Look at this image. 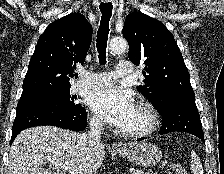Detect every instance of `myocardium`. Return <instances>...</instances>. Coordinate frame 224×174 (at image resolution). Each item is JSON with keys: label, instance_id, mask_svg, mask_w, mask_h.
<instances>
[{"label": "myocardium", "instance_id": "1", "mask_svg": "<svg viewBox=\"0 0 224 174\" xmlns=\"http://www.w3.org/2000/svg\"><path fill=\"white\" fill-rule=\"evenodd\" d=\"M136 106L141 109L146 118L147 123L144 127L134 131H122V134L128 138H140L151 134L158 125V115L155 108L147 101L140 100L137 102Z\"/></svg>", "mask_w": 224, "mask_h": 174}]
</instances>
